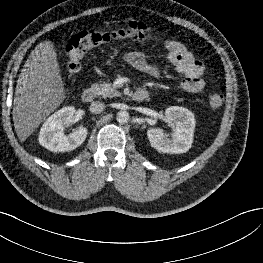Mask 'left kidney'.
I'll list each match as a JSON object with an SVG mask.
<instances>
[{
	"label": "left kidney",
	"instance_id": "obj_1",
	"mask_svg": "<svg viewBox=\"0 0 263 263\" xmlns=\"http://www.w3.org/2000/svg\"><path fill=\"white\" fill-rule=\"evenodd\" d=\"M165 116L175 126L172 138H168V135L160 128H151L147 131L151 146L163 153L181 154L187 152L193 143L194 114L186 108L172 106L165 110Z\"/></svg>",
	"mask_w": 263,
	"mask_h": 263
}]
</instances>
